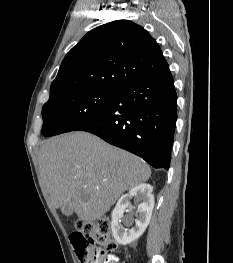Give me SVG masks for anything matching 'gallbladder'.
<instances>
[{
	"instance_id": "obj_1",
	"label": "gallbladder",
	"mask_w": 233,
	"mask_h": 263,
	"mask_svg": "<svg viewBox=\"0 0 233 263\" xmlns=\"http://www.w3.org/2000/svg\"><path fill=\"white\" fill-rule=\"evenodd\" d=\"M62 213L69 217L73 214V209L71 207H69L68 205L64 206L62 209H61Z\"/></svg>"
}]
</instances>
